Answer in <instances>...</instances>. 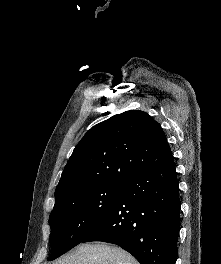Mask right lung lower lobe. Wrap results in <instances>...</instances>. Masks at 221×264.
I'll return each mask as SVG.
<instances>
[{"mask_svg":"<svg viewBox=\"0 0 221 264\" xmlns=\"http://www.w3.org/2000/svg\"><path fill=\"white\" fill-rule=\"evenodd\" d=\"M179 229V185L171 160L128 179L116 205L82 242L119 245L140 264H175Z\"/></svg>","mask_w":221,"mask_h":264,"instance_id":"98d812e1","label":"right lung lower lobe"}]
</instances>
